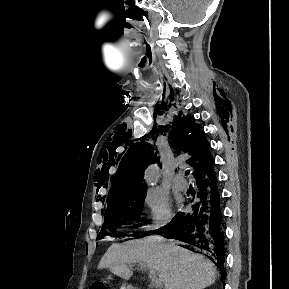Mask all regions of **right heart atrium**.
Masks as SVG:
<instances>
[{"label": "right heart atrium", "mask_w": 289, "mask_h": 289, "mask_svg": "<svg viewBox=\"0 0 289 289\" xmlns=\"http://www.w3.org/2000/svg\"><path fill=\"white\" fill-rule=\"evenodd\" d=\"M143 204L149 218V223L144 227L145 230H157L172 220L173 213L169 198L160 189H149L143 197Z\"/></svg>", "instance_id": "obj_1"}]
</instances>
